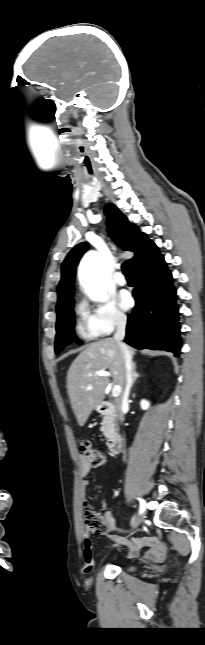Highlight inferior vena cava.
I'll return each instance as SVG.
<instances>
[{"instance_id": "602c4592", "label": "inferior vena cava", "mask_w": 205, "mask_h": 645, "mask_svg": "<svg viewBox=\"0 0 205 645\" xmlns=\"http://www.w3.org/2000/svg\"><path fill=\"white\" fill-rule=\"evenodd\" d=\"M125 330H126V318L124 317L119 318L117 321V330L114 335V340L119 344V347L121 348L123 359H124V366H125V386H124L123 393L117 403L119 420L121 422H123L124 420V414L122 410L126 405H128V398H129L130 389L133 381L131 353L127 348V346L122 343V340L125 337Z\"/></svg>"}]
</instances>
